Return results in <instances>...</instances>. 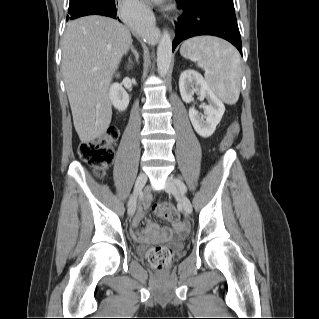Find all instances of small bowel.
<instances>
[{"mask_svg": "<svg viewBox=\"0 0 319 319\" xmlns=\"http://www.w3.org/2000/svg\"><path fill=\"white\" fill-rule=\"evenodd\" d=\"M142 207L137 209L136 215L132 222V227L135 231L132 235L137 238L139 241H150L157 239L159 236L162 237H172L175 233H185L188 229L186 222L182 221L181 219H177L173 222L175 231L164 230L162 232L159 231V228L153 222H148L146 227L138 231L136 228L138 227L140 221L143 219L145 214V208H147L150 204V197L147 195L141 199Z\"/></svg>", "mask_w": 319, "mask_h": 319, "instance_id": "1", "label": "small bowel"}]
</instances>
